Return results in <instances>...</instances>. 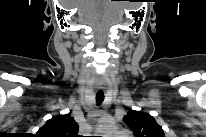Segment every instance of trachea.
Listing matches in <instances>:
<instances>
[{"label": "trachea", "mask_w": 206, "mask_h": 137, "mask_svg": "<svg viewBox=\"0 0 206 137\" xmlns=\"http://www.w3.org/2000/svg\"><path fill=\"white\" fill-rule=\"evenodd\" d=\"M104 101V93L103 92H98L96 94V102L98 105H100Z\"/></svg>", "instance_id": "obj_1"}]
</instances>
